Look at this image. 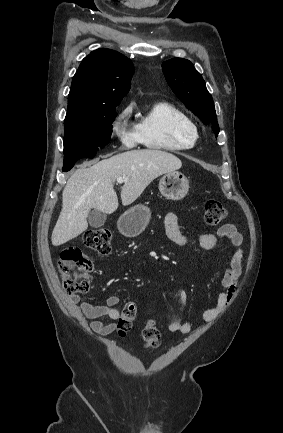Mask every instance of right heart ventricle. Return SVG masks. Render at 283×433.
I'll return each instance as SVG.
<instances>
[{
  "instance_id": "obj_1",
  "label": "right heart ventricle",
  "mask_w": 283,
  "mask_h": 433,
  "mask_svg": "<svg viewBox=\"0 0 283 433\" xmlns=\"http://www.w3.org/2000/svg\"><path fill=\"white\" fill-rule=\"evenodd\" d=\"M193 123L184 111L176 106L158 102L150 106L141 116L137 129L145 145L151 149L182 151L192 146L178 138L181 125Z\"/></svg>"
}]
</instances>
